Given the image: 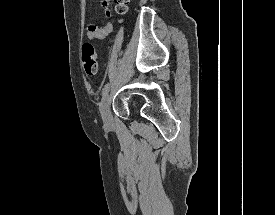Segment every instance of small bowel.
Returning <instances> with one entry per match:
<instances>
[{
  "instance_id": "small-bowel-1",
  "label": "small bowel",
  "mask_w": 275,
  "mask_h": 215,
  "mask_svg": "<svg viewBox=\"0 0 275 215\" xmlns=\"http://www.w3.org/2000/svg\"><path fill=\"white\" fill-rule=\"evenodd\" d=\"M110 0H101L102 9L107 18L111 17V12L109 10ZM112 24L106 23L104 26H97L95 24L87 25V38L89 40H103L105 39L112 31Z\"/></svg>"
}]
</instances>
